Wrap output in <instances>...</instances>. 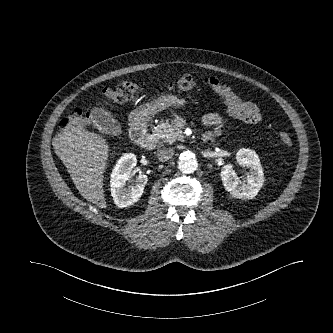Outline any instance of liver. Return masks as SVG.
<instances>
[{
	"mask_svg": "<svg viewBox=\"0 0 333 333\" xmlns=\"http://www.w3.org/2000/svg\"><path fill=\"white\" fill-rule=\"evenodd\" d=\"M75 118L58 135L54 148L80 194L99 208H106L103 173L109 145L103 136L86 130L82 118Z\"/></svg>",
	"mask_w": 333,
	"mask_h": 333,
	"instance_id": "1",
	"label": "liver"
}]
</instances>
